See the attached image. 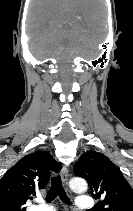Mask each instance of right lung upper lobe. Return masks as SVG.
Wrapping results in <instances>:
<instances>
[{
  "instance_id": "1",
  "label": "right lung upper lobe",
  "mask_w": 133,
  "mask_h": 211,
  "mask_svg": "<svg viewBox=\"0 0 133 211\" xmlns=\"http://www.w3.org/2000/svg\"><path fill=\"white\" fill-rule=\"evenodd\" d=\"M61 167L46 151L24 156L0 179V211H25L26 201L45 188L50 173Z\"/></svg>"
}]
</instances>
